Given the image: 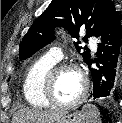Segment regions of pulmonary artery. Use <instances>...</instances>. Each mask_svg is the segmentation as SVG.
I'll use <instances>...</instances> for the list:
<instances>
[{"label":"pulmonary artery","mask_w":122,"mask_h":123,"mask_svg":"<svg viewBox=\"0 0 122 123\" xmlns=\"http://www.w3.org/2000/svg\"><path fill=\"white\" fill-rule=\"evenodd\" d=\"M90 45H91V48L94 51H96L97 42L94 38L90 39ZM46 56L49 57L50 59L58 62L63 56L62 49L60 47H53L47 52Z\"/></svg>","instance_id":"obj_1"}]
</instances>
